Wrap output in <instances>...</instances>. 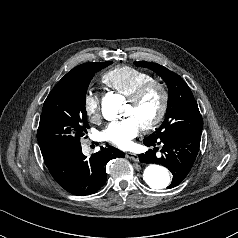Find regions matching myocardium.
Segmentation results:
<instances>
[{"label": "myocardium", "mask_w": 238, "mask_h": 238, "mask_svg": "<svg viewBox=\"0 0 238 238\" xmlns=\"http://www.w3.org/2000/svg\"><path fill=\"white\" fill-rule=\"evenodd\" d=\"M157 90L160 93V105L156 115L147 123L141 126L143 131H149L157 127L166 115L169 104V93L166 86L158 80H150L138 87L134 93L128 97V103L132 106L139 105L145 96L151 90Z\"/></svg>", "instance_id": "obj_1"}]
</instances>
